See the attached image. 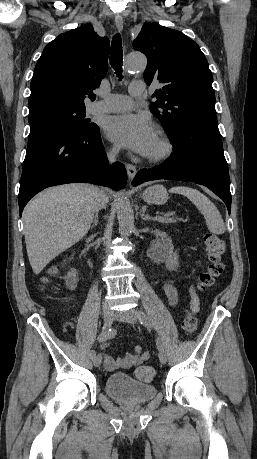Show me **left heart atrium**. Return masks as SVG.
<instances>
[{
	"instance_id": "39dd6f15",
	"label": "left heart atrium",
	"mask_w": 257,
	"mask_h": 459,
	"mask_svg": "<svg viewBox=\"0 0 257 459\" xmlns=\"http://www.w3.org/2000/svg\"><path fill=\"white\" fill-rule=\"evenodd\" d=\"M107 134L118 145L142 155L149 154L157 136L147 116L134 114L111 118L107 123Z\"/></svg>"
}]
</instances>
